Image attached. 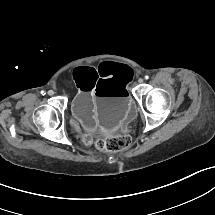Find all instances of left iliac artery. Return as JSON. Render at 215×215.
Returning <instances> with one entry per match:
<instances>
[{"mask_svg": "<svg viewBox=\"0 0 215 215\" xmlns=\"http://www.w3.org/2000/svg\"><path fill=\"white\" fill-rule=\"evenodd\" d=\"M148 78H149V77L146 75V76H145V79H148Z\"/></svg>", "mask_w": 215, "mask_h": 215, "instance_id": "obj_1", "label": "left iliac artery"}]
</instances>
